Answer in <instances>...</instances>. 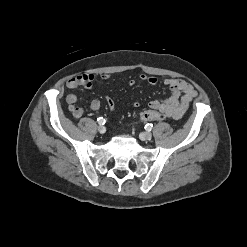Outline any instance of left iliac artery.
<instances>
[{"label":"left iliac artery","mask_w":247,"mask_h":247,"mask_svg":"<svg viewBox=\"0 0 247 247\" xmlns=\"http://www.w3.org/2000/svg\"><path fill=\"white\" fill-rule=\"evenodd\" d=\"M152 128H153V125L152 124H146L145 125V129H147V131H151L152 130Z\"/></svg>","instance_id":"1"}]
</instances>
